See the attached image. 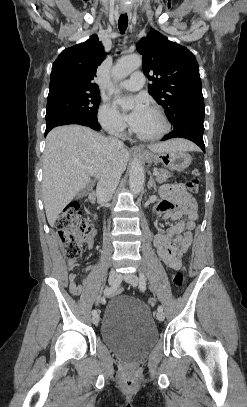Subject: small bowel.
<instances>
[{"instance_id":"small-bowel-1","label":"small bowel","mask_w":247,"mask_h":407,"mask_svg":"<svg viewBox=\"0 0 247 407\" xmlns=\"http://www.w3.org/2000/svg\"><path fill=\"white\" fill-rule=\"evenodd\" d=\"M161 195L163 199L154 207V215H162L164 220L177 221V223L166 232L156 235L153 244L166 266L183 270V255L192 243V231L198 218L197 205L179 184L164 186L161 189ZM86 244L89 249H92L94 244L92 238L87 239ZM67 266L70 271H73L79 264L76 260H69ZM93 269L94 266L89 265L85 271L89 272ZM75 278L76 274L71 272L68 276L69 290L73 295H80L84 286L77 284ZM86 284L87 281L84 285Z\"/></svg>"}]
</instances>
